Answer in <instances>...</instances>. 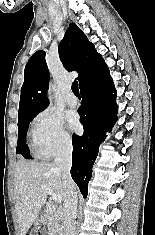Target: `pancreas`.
I'll use <instances>...</instances> for the list:
<instances>
[{"label": "pancreas", "instance_id": "obj_1", "mask_svg": "<svg viewBox=\"0 0 155 235\" xmlns=\"http://www.w3.org/2000/svg\"><path fill=\"white\" fill-rule=\"evenodd\" d=\"M48 230L52 233V235H63V229L59 224L57 217H52L48 222Z\"/></svg>", "mask_w": 155, "mask_h": 235}]
</instances>
